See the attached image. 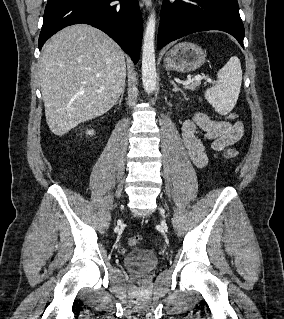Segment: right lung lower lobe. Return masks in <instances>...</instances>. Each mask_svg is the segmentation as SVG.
Segmentation results:
<instances>
[{"label": "right lung lower lobe", "instance_id": "right-lung-lower-lobe-1", "mask_svg": "<svg viewBox=\"0 0 284 319\" xmlns=\"http://www.w3.org/2000/svg\"><path fill=\"white\" fill-rule=\"evenodd\" d=\"M48 0L39 49L57 31L66 26L85 23L108 34L138 62L142 39V17L137 0Z\"/></svg>", "mask_w": 284, "mask_h": 319}]
</instances>
